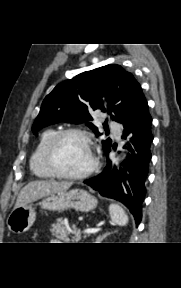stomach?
I'll use <instances>...</instances> for the list:
<instances>
[{
  "instance_id": "1",
  "label": "stomach",
  "mask_w": 181,
  "mask_h": 288,
  "mask_svg": "<svg viewBox=\"0 0 181 288\" xmlns=\"http://www.w3.org/2000/svg\"><path fill=\"white\" fill-rule=\"evenodd\" d=\"M42 208L60 211L73 208L81 212H89L97 206V199L82 189H72L61 193L51 194L40 203ZM36 219V213L31 204L13 209L7 218V225L14 233H24L30 229Z\"/></svg>"
}]
</instances>
